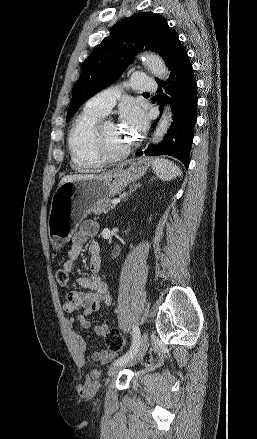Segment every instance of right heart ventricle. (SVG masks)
Here are the masks:
<instances>
[{"label": "right heart ventricle", "instance_id": "1", "mask_svg": "<svg viewBox=\"0 0 257 439\" xmlns=\"http://www.w3.org/2000/svg\"><path fill=\"white\" fill-rule=\"evenodd\" d=\"M103 115L84 108L73 123L68 137L72 166L78 171H91L102 163L95 138L97 123Z\"/></svg>", "mask_w": 257, "mask_h": 439}]
</instances>
